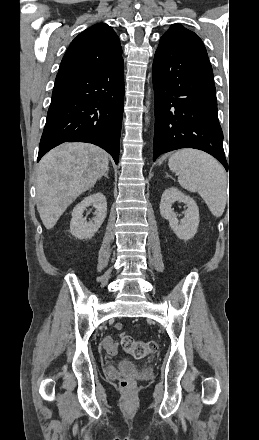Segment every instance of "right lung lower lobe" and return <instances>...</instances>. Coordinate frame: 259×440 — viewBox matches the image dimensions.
<instances>
[{
    "label": "right lung lower lobe",
    "instance_id": "obj_1",
    "mask_svg": "<svg viewBox=\"0 0 259 440\" xmlns=\"http://www.w3.org/2000/svg\"><path fill=\"white\" fill-rule=\"evenodd\" d=\"M123 103V59L88 73L56 77L37 161L63 142H88L118 163Z\"/></svg>",
    "mask_w": 259,
    "mask_h": 440
}]
</instances>
